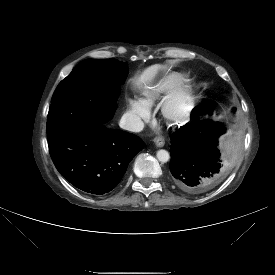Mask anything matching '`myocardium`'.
Wrapping results in <instances>:
<instances>
[{
  "mask_svg": "<svg viewBox=\"0 0 275 275\" xmlns=\"http://www.w3.org/2000/svg\"><path fill=\"white\" fill-rule=\"evenodd\" d=\"M188 102V84L182 74L177 75L175 83L160 103L163 119L171 122L181 121L186 113Z\"/></svg>",
  "mask_w": 275,
  "mask_h": 275,
  "instance_id": "1",
  "label": "myocardium"
}]
</instances>
